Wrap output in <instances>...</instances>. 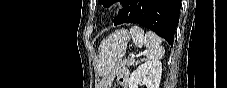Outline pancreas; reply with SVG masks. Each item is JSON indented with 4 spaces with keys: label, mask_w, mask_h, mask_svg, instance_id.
<instances>
[{
    "label": "pancreas",
    "mask_w": 227,
    "mask_h": 88,
    "mask_svg": "<svg viewBox=\"0 0 227 88\" xmlns=\"http://www.w3.org/2000/svg\"><path fill=\"white\" fill-rule=\"evenodd\" d=\"M121 63L124 65H127V67H132V66H135L138 63V61H135L134 59H131V58H127V59H123Z\"/></svg>",
    "instance_id": "1"
}]
</instances>
